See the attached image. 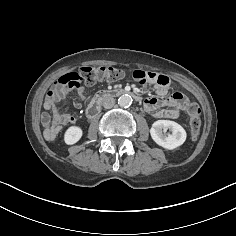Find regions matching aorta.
I'll list each match as a JSON object with an SVG mask.
<instances>
[{
  "instance_id": "aorta-1",
  "label": "aorta",
  "mask_w": 236,
  "mask_h": 236,
  "mask_svg": "<svg viewBox=\"0 0 236 236\" xmlns=\"http://www.w3.org/2000/svg\"><path fill=\"white\" fill-rule=\"evenodd\" d=\"M132 104V97L128 94L121 95L118 99V105L122 108H128Z\"/></svg>"
}]
</instances>
